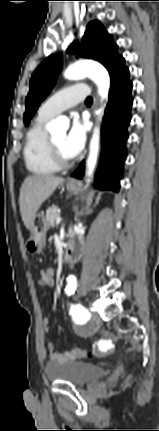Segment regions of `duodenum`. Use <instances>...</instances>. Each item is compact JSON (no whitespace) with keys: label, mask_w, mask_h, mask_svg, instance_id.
<instances>
[{"label":"duodenum","mask_w":159,"mask_h":431,"mask_svg":"<svg viewBox=\"0 0 159 431\" xmlns=\"http://www.w3.org/2000/svg\"><path fill=\"white\" fill-rule=\"evenodd\" d=\"M84 242L81 237L75 235L74 233L70 234V239L67 244L66 253L63 258V262L70 264L75 262L83 253Z\"/></svg>","instance_id":"1"}]
</instances>
